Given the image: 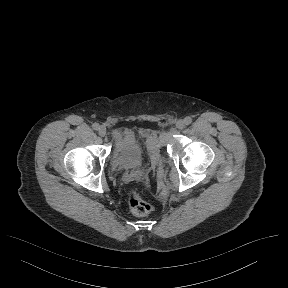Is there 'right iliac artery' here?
Returning a JSON list of instances; mask_svg holds the SVG:
<instances>
[{"instance_id":"obj_1","label":"right iliac artery","mask_w":288,"mask_h":288,"mask_svg":"<svg viewBox=\"0 0 288 288\" xmlns=\"http://www.w3.org/2000/svg\"><path fill=\"white\" fill-rule=\"evenodd\" d=\"M92 127H93L94 130H99L100 129V125L98 123H94Z\"/></svg>"}]
</instances>
